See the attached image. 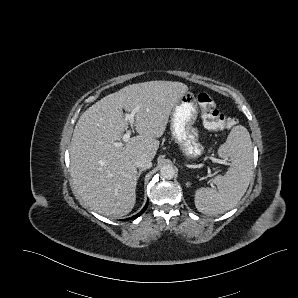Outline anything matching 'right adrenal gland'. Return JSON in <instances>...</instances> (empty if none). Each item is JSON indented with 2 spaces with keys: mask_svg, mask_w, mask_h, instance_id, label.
I'll list each match as a JSON object with an SVG mask.
<instances>
[{
  "mask_svg": "<svg viewBox=\"0 0 298 298\" xmlns=\"http://www.w3.org/2000/svg\"><path fill=\"white\" fill-rule=\"evenodd\" d=\"M144 170H146V169H144V168H140V169L138 170V173H137V179L140 178V176H141V174H142V172H143Z\"/></svg>",
  "mask_w": 298,
  "mask_h": 298,
  "instance_id": "right-adrenal-gland-1",
  "label": "right adrenal gland"
}]
</instances>
